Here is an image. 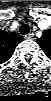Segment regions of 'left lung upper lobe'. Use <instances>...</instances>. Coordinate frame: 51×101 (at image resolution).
<instances>
[{"mask_svg":"<svg viewBox=\"0 0 51 101\" xmlns=\"http://www.w3.org/2000/svg\"><path fill=\"white\" fill-rule=\"evenodd\" d=\"M39 46L43 49L46 56L51 58V29L45 30L40 38L36 40Z\"/></svg>","mask_w":51,"mask_h":101,"instance_id":"5c2ea615","label":"left lung upper lobe"}]
</instances>
